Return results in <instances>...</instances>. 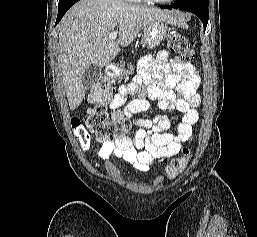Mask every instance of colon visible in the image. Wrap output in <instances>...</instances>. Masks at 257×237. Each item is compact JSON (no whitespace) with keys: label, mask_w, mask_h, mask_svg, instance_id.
I'll return each instance as SVG.
<instances>
[{"label":"colon","mask_w":257,"mask_h":237,"mask_svg":"<svg viewBox=\"0 0 257 237\" xmlns=\"http://www.w3.org/2000/svg\"><path fill=\"white\" fill-rule=\"evenodd\" d=\"M167 44L169 48L174 51L183 62H191L194 54L190 48L188 38L178 31L171 32ZM114 96V82L107 76H101L89 94L90 106L86 112L85 124L77 118L71 120V126L74 135L84 148L90 145L91 131L97 140L102 142H114L120 140L132 128V123L128 120L113 121L109 118L107 111V104ZM191 157V151L186 149L183 156L175 158L166 167L165 175L173 179L181 173L188 165Z\"/></svg>","instance_id":"obj_1"}]
</instances>
